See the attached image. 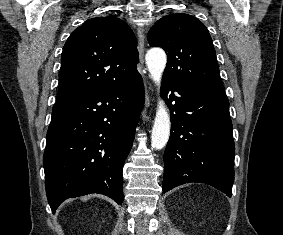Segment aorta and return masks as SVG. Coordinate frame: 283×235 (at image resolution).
<instances>
[{"label":"aorta","mask_w":283,"mask_h":235,"mask_svg":"<svg viewBox=\"0 0 283 235\" xmlns=\"http://www.w3.org/2000/svg\"><path fill=\"white\" fill-rule=\"evenodd\" d=\"M146 64L151 78L159 87L166 66L167 57L160 48H152L146 54ZM170 135V116L165 102L159 99L156 116L151 135V145L154 149H162L168 142Z\"/></svg>","instance_id":"1"}]
</instances>
